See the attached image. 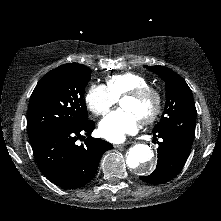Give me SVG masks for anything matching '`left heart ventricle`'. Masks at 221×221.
<instances>
[{
  "mask_svg": "<svg viewBox=\"0 0 221 221\" xmlns=\"http://www.w3.org/2000/svg\"><path fill=\"white\" fill-rule=\"evenodd\" d=\"M123 109L133 112L139 119L147 116L154 108V100L151 97L136 100L133 98H123L120 102Z\"/></svg>",
  "mask_w": 221,
  "mask_h": 221,
  "instance_id": "left-heart-ventricle-1",
  "label": "left heart ventricle"
}]
</instances>
